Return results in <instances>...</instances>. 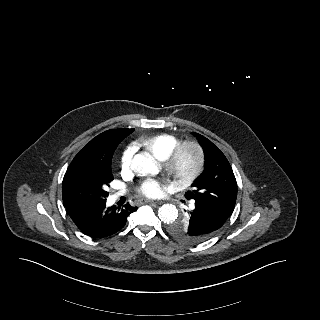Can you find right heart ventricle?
<instances>
[{
    "label": "right heart ventricle",
    "instance_id": "e07e8e85",
    "mask_svg": "<svg viewBox=\"0 0 320 320\" xmlns=\"http://www.w3.org/2000/svg\"><path fill=\"white\" fill-rule=\"evenodd\" d=\"M178 142V138L172 134L156 133L143 138L140 145L157 159L164 160Z\"/></svg>",
    "mask_w": 320,
    "mask_h": 320
}]
</instances>
